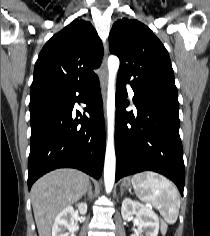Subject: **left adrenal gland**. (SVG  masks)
I'll list each match as a JSON object with an SVG mask.
<instances>
[{"label": "left adrenal gland", "instance_id": "a2214340", "mask_svg": "<svg viewBox=\"0 0 210 236\" xmlns=\"http://www.w3.org/2000/svg\"><path fill=\"white\" fill-rule=\"evenodd\" d=\"M120 191H121V196H122L123 193H124V189H123V187H121Z\"/></svg>", "mask_w": 210, "mask_h": 236}]
</instances>
